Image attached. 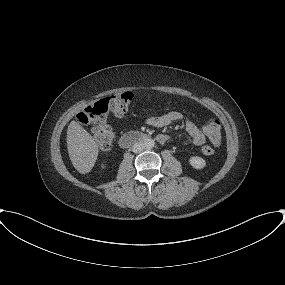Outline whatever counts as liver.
I'll return each instance as SVG.
<instances>
[{
  "mask_svg": "<svg viewBox=\"0 0 285 285\" xmlns=\"http://www.w3.org/2000/svg\"><path fill=\"white\" fill-rule=\"evenodd\" d=\"M67 149L74 168L81 174L91 171L98 157V145L94 138L76 121L67 129Z\"/></svg>",
  "mask_w": 285,
  "mask_h": 285,
  "instance_id": "obj_1",
  "label": "liver"
}]
</instances>
